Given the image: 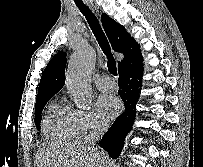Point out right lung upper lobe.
Returning a JSON list of instances; mask_svg holds the SVG:
<instances>
[{"label": "right lung upper lobe", "mask_w": 203, "mask_h": 167, "mask_svg": "<svg viewBox=\"0 0 203 167\" xmlns=\"http://www.w3.org/2000/svg\"><path fill=\"white\" fill-rule=\"evenodd\" d=\"M101 21L106 35L114 51L124 54L122 61L118 62V71L135 65L142 60L139 46L126 31V29L103 13ZM66 54L59 52L47 64L42 73L36 103L51 98L65 83Z\"/></svg>", "instance_id": "cb5924a9"}]
</instances>
